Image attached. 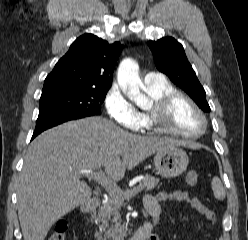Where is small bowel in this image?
Masks as SVG:
<instances>
[{
  "label": "small bowel",
  "mask_w": 248,
  "mask_h": 240,
  "mask_svg": "<svg viewBox=\"0 0 248 240\" xmlns=\"http://www.w3.org/2000/svg\"><path fill=\"white\" fill-rule=\"evenodd\" d=\"M165 202H179L188 204L206 220L210 222H215L216 220L214 212L206 207L200 200L191 196L186 191H173L160 192L156 195H145L143 197L144 207L150 215L154 224H157L160 221L162 214V204ZM150 240H159V238L157 235L151 234Z\"/></svg>",
  "instance_id": "obj_1"
}]
</instances>
